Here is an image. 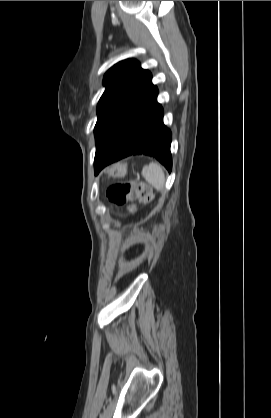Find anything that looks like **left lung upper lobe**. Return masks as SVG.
I'll return each instance as SVG.
<instances>
[{
	"mask_svg": "<svg viewBox=\"0 0 271 418\" xmlns=\"http://www.w3.org/2000/svg\"><path fill=\"white\" fill-rule=\"evenodd\" d=\"M106 89L97 105L96 152L124 117L154 87L152 75L134 59L115 64L104 76Z\"/></svg>",
	"mask_w": 271,
	"mask_h": 418,
	"instance_id": "obj_1",
	"label": "left lung upper lobe"
}]
</instances>
